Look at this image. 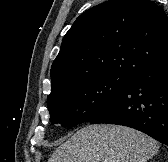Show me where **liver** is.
Wrapping results in <instances>:
<instances>
[{
	"mask_svg": "<svg viewBox=\"0 0 168 162\" xmlns=\"http://www.w3.org/2000/svg\"><path fill=\"white\" fill-rule=\"evenodd\" d=\"M159 143L135 129L119 125H88L60 145L48 162H147Z\"/></svg>",
	"mask_w": 168,
	"mask_h": 162,
	"instance_id": "1",
	"label": "liver"
}]
</instances>
